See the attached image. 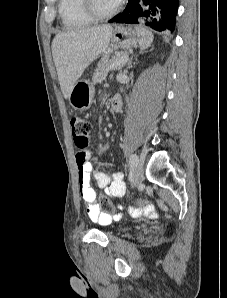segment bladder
Returning a JSON list of instances; mask_svg holds the SVG:
<instances>
[{
  "mask_svg": "<svg viewBox=\"0 0 227 298\" xmlns=\"http://www.w3.org/2000/svg\"><path fill=\"white\" fill-rule=\"evenodd\" d=\"M131 227L127 225H117V226H112L111 229L115 232H125L129 230Z\"/></svg>",
  "mask_w": 227,
  "mask_h": 298,
  "instance_id": "1",
  "label": "bladder"
}]
</instances>
